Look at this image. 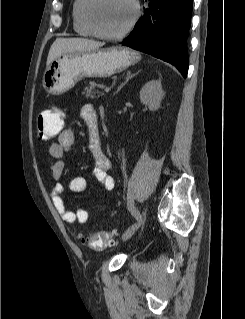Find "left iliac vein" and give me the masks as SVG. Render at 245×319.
Segmentation results:
<instances>
[{
  "label": "left iliac vein",
  "instance_id": "1",
  "mask_svg": "<svg viewBox=\"0 0 245 319\" xmlns=\"http://www.w3.org/2000/svg\"><path fill=\"white\" fill-rule=\"evenodd\" d=\"M145 216H146V211H143L140 217L138 218L137 222L124 232L123 240L129 239L135 233V231L143 224L145 220Z\"/></svg>",
  "mask_w": 245,
  "mask_h": 319
}]
</instances>
